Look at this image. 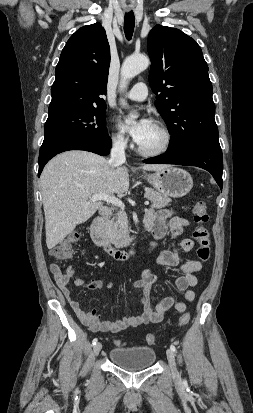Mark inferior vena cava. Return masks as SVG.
Masks as SVG:
<instances>
[{
    "instance_id": "inferior-vena-cava-1",
    "label": "inferior vena cava",
    "mask_w": 253,
    "mask_h": 413,
    "mask_svg": "<svg viewBox=\"0 0 253 413\" xmlns=\"http://www.w3.org/2000/svg\"><path fill=\"white\" fill-rule=\"evenodd\" d=\"M124 149L125 141L122 138H118L113 141L110 153L111 157L109 160V165L111 167H118L125 162L126 158Z\"/></svg>"
}]
</instances>
